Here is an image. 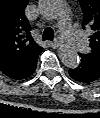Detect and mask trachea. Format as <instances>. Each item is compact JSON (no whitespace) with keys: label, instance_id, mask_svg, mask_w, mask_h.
Returning <instances> with one entry per match:
<instances>
[{"label":"trachea","instance_id":"obj_1","mask_svg":"<svg viewBox=\"0 0 100 118\" xmlns=\"http://www.w3.org/2000/svg\"><path fill=\"white\" fill-rule=\"evenodd\" d=\"M53 37H54V31L52 28H46L43 31V35H42L43 40H52Z\"/></svg>","mask_w":100,"mask_h":118}]
</instances>
